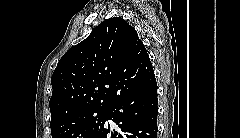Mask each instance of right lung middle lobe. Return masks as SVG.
<instances>
[{"label": "right lung middle lobe", "mask_w": 240, "mask_h": 138, "mask_svg": "<svg viewBox=\"0 0 240 138\" xmlns=\"http://www.w3.org/2000/svg\"><path fill=\"white\" fill-rule=\"evenodd\" d=\"M108 107L86 109L50 124L52 138H93L106 121Z\"/></svg>", "instance_id": "obj_1"}]
</instances>
